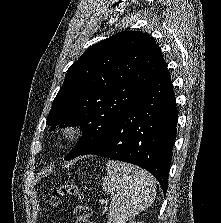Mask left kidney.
I'll use <instances>...</instances> for the list:
<instances>
[{
    "label": "left kidney",
    "instance_id": "left-kidney-1",
    "mask_svg": "<svg viewBox=\"0 0 221 223\" xmlns=\"http://www.w3.org/2000/svg\"><path fill=\"white\" fill-rule=\"evenodd\" d=\"M130 223H143V222H130Z\"/></svg>",
    "mask_w": 221,
    "mask_h": 223
}]
</instances>
